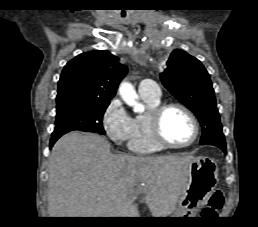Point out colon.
<instances>
[{"mask_svg": "<svg viewBox=\"0 0 258 227\" xmlns=\"http://www.w3.org/2000/svg\"><path fill=\"white\" fill-rule=\"evenodd\" d=\"M224 204V195L221 190H215L208 200V204L204 209L205 215H214L217 211H219Z\"/></svg>", "mask_w": 258, "mask_h": 227, "instance_id": "colon-1", "label": "colon"}]
</instances>
